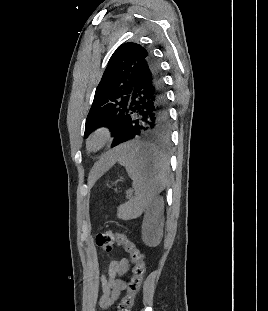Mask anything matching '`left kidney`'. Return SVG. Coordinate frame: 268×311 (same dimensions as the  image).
Here are the masks:
<instances>
[{
  "instance_id": "obj_1",
  "label": "left kidney",
  "mask_w": 268,
  "mask_h": 311,
  "mask_svg": "<svg viewBox=\"0 0 268 311\" xmlns=\"http://www.w3.org/2000/svg\"><path fill=\"white\" fill-rule=\"evenodd\" d=\"M163 199H156L146 213L142 224V240L149 247L157 246L163 235Z\"/></svg>"
}]
</instances>
